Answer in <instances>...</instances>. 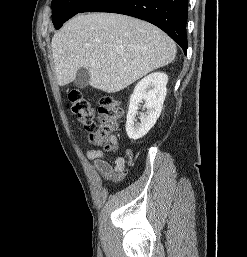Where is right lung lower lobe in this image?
<instances>
[{"label":"right lung lower lobe","instance_id":"1","mask_svg":"<svg viewBox=\"0 0 247 257\" xmlns=\"http://www.w3.org/2000/svg\"><path fill=\"white\" fill-rule=\"evenodd\" d=\"M188 0H92L79 13L111 12L148 21L165 31L187 52Z\"/></svg>","mask_w":247,"mask_h":257}]
</instances>
